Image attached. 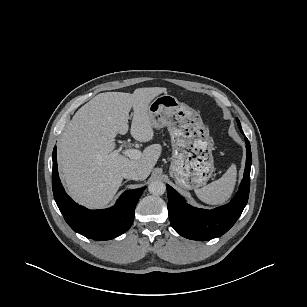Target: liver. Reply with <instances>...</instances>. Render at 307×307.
<instances>
[{"label": "liver", "instance_id": "1", "mask_svg": "<svg viewBox=\"0 0 307 307\" xmlns=\"http://www.w3.org/2000/svg\"><path fill=\"white\" fill-rule=\"evenodd\" d=\"M166 91L163 87H149L138 88L132 94L100 93L75 113L62 133L57 157L61 178L76 202L88 208L108 205L121 186L126 168L138 170L140 180L149 176L161 146L153 144L144 149L140 159H128L114 150L115 137L128 132V116L133 108L132 137L140 142L152 140L148 106Z\"/></svg>", "mask_w": 307, "mask_h": 307}]
</instances>
